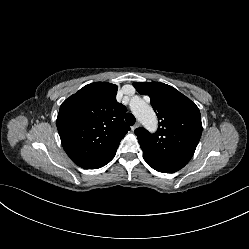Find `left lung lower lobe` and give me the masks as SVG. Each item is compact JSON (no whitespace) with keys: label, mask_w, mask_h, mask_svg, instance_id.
<instances>
[{"label":"left lung lower lobe","mask_w":249,"mask_h":249,"mask_svg":"<svg viewBox=\"0 0 249 249\" xmlns=\"http://www.w3.org/2000/svg\"><path fill=\"white\" fill-rule=\"evenodd\" d=\"M147 163L156 171L163 172V173H173L180 169L178 167H173V166H168V165H160V164H155V163H150V162H147Z\"/></svg>","instance_id":"obj_1"}]
</instances>
